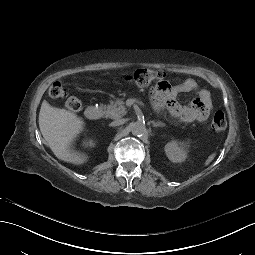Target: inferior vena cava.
Masks as SVG:
<instances>
[{
  "label": "inferior vena cava",
  "mask_w": 255,
  "mask_h": 255,
  "mask_svg": "<svg viewBox=\"0 0 255 255\" xmlns=\"http://www.w3.org/2000/svg\"><path fill=\"white\" fill-rule=\"evenodd\" d=\"M122 124H123V120L118 119V120H114L110 125L111 126H120Z\"/></svg>",
  "instance_id": "obj_1"
}]
</instances>
